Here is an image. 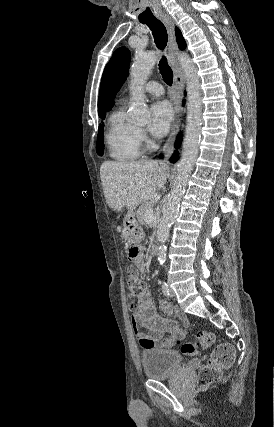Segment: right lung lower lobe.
Listing matches in <instances>:
<instances>
[{
  "label": "right lung lower lobe",
  "mask_w": 274,
  "mask_h": 427,
  "mask_svg": "<svg viewBox=\"0 0 274 427\" xmlns=\"http://www.w3.org/2000/svg\"><path fill=\"white\" fill-rule=\"evenodd\" d=\"M183 105H184V103H183ZM181 137H180V135L178 136V139H177V141H176V147H178L179 146V144H180V142H181ZM178 153L177 152H175V154L172 156V158L170 159L172 162H175V161H177V159H178Z\"/></svg>",
  "instance_id": "right-lung-lower-lobe-1"
}]
</instances>
